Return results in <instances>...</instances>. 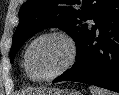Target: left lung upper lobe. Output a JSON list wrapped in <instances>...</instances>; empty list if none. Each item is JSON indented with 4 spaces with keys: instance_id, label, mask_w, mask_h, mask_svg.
Here are the masks:
<instances>
[{
    "instance_id": "1",
    "label": "left lung upper lobe",
    "mask_w": 119,
    "mask_h": 95,
    "mask_svg": "<svg viewBox=\"0 0 119 95\" xmlns=\"http://www.w3.org/2000/svg\"><path fill=\"white\" fill-rule=\"evenodd\" d=\"M109 0H27L19 11L20 23L13 35L11 63L24 42L35 33L50 27H59L75 41L76 48L90 27L83 21L94 19ZM78 5H81L79 9Z\"/></svg>"
}]
</instances>
